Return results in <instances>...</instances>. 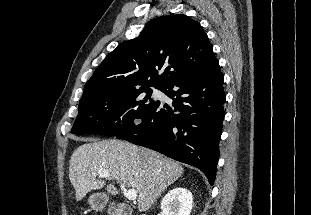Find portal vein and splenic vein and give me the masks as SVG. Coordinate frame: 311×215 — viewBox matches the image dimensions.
Here are the masks:
<instances>
[{
	"instance_id": "portal-vein-and-splenic-vein-1",
	"label": "portal vein and splenic vein",
	"mask_w": 311,
	"mask_h": 215,
	"mask_svg": "<svg viewBox=\"0 0 311 215\" xmlns=\"http://www.w3.org/2000/svg\"><path fill=\"white\" fill-rule=\"evenodd\" d=\"M97 175L101 178L109 177V172L107 170H99ZM120 188L124 194V196L131 201H135L137 198V191L135 189H126L125 185L120 183Z\"/></svg>"
}]
</instances>
